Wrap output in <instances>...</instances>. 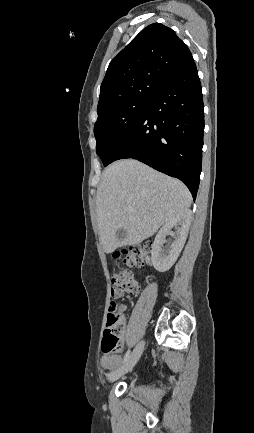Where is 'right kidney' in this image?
<instances>
[{"label": "right kidney", "mask_w": 254, "mask_h": 433, "mask_svg": "<svg viewBox=\"0 0 254 433\" xmlns=\"http://www.w3.org/2000/svg\"><path fill=\"white\" fill-rule=\"evenodd\" d=\"M192 212L185 210L171 218L157 233L152 245L151 259L154 268L159 272L168 271L177 260L188 235ZM175 228L174 241L169 248L163 249L166 236Z\"/></svg>", "instance_id": "ca27d5eb"}]
</instances>
